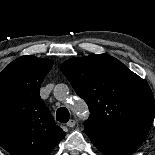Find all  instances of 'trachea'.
Listing matches in <instances>:
<instances>
[{
    "instance_id": "3493384b",
    "label": "trachea",
    "mask_w": 155,
    "mask_h": 155,
    "mask_svg": "<svg viewBox=\"0 0 155 155\" xmlns=\"http://www.w3.org/2000/svg\"><path fill=\"white\" fill-rule=\"evenodd\" d=\"M70 118V114L67 108L61 107L56 112V119L61 123H66Z\"/></svg>"
}]
</instances>
